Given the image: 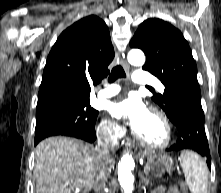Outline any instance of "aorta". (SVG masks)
<instances>
[{
	"label": "aorta",
	"instance_id": "aorta-1",
	"mask_svg": "<svg viewBox=\"0 0 221 193\" xmlns=\"http://www.w3.org/2000/svg\"><path fill=\"white\" fill-rule=\"evenodd\" d=\"M128 62L134 66H143L145 63V55L140 49H132L128 53ZM134 166V160L129 153L122 156L118 165V180L124 193H132L134 176L131 169Z\"/></svg>",
	"mask_w": 221,
	"mask_h": 193
}]
</instances>
